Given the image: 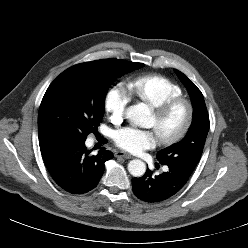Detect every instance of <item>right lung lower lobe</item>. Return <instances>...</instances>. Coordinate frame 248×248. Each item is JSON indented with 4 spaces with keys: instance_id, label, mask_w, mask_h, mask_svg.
Returning <instances> with one entry per match:
<instances>
[{
    "instance_id": "right-lung-lower-lobe-1",
    "label": "right lung lower lobe",
    "mask_w": 248,
    "mask_h": 248,
    "mask_svg": "<svg viewBox=\"0 0 248 248\" xmlns=\"http://www.w3.org/2000/svg\"><path fill=\"white\" fill-rule=\"evenodd\" d=\"M40 149L54 181L72 194H84L95 188L103 175L104 163L113 158V153L105 149L91 155L85 141L65 138L54 139Z\"/></svg>"
}]
</instances>
